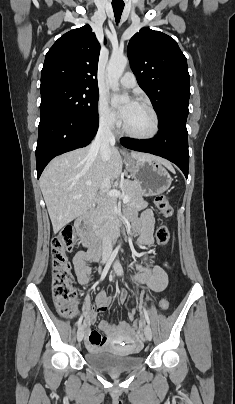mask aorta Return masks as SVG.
I'll return each mask as SVG.
<instances>
[{"label": "aorta", "mask_w": 235, "mask_h": 404, "mask_svg": "<svg viewBox=\"0 0 235 404\" xmlns=\"http://www.w3.org/2000/svg\"><path fill=\"white\" fill-rule=\"evenodd\" d=\"M128 59L123 54H112L107 66V84L115 93L112 102L115 105H122L129 102L128 95H119V79L127 65Z\"/></svg>", "instance_id": "aorta-1"}]
</instances>
